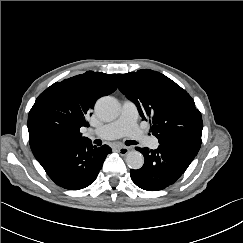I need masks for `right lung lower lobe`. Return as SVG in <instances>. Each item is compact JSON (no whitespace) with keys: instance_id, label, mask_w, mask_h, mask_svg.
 I'll return each instance as SVG.
<instances>
[{"instance_id":"98d812e1","label":"right lung lower lobe","mask_w":243,"mask_h":243,"mask_svg":"<svg viewBox=\"0 0 243 243\" xmlns=\"http://www.w3.org/2000/svg\"><path fill=\"white\" fill-rule=\"evenodd\" d=\"M31 150L54 183L68 190H79L95 181L110 147L93 146L91 141L68 143L43 140Z\"/></svg>"}]
</instances>
